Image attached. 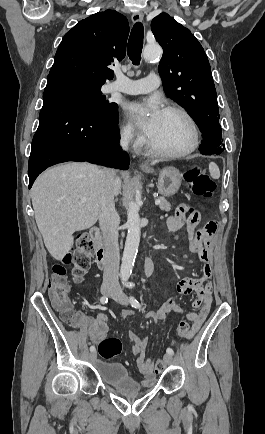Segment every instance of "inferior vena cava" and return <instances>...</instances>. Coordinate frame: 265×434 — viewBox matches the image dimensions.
Masks as SVG:
<instances>
[{"label":"inferior vena cava","instance_id":"602c4592","mask_svg":"<svg viewBox=\"0 0 265 434\" xmlns=\"http://www.w3.org/2000/svg\"><path fill=\"white\" fill-rule=\"evenodd\" d=\"M129 134L121 140L123 150H127ZM115 174L113 170H100L97 174L96 188L102 196L99 212V226L104 242V274L103 280L119 282V246L118 226L113 198Z\"/></svg>","mask_w":265,"mask_h":434}]
</instances>
